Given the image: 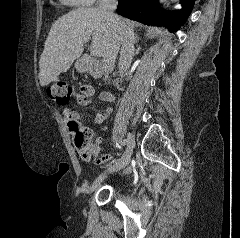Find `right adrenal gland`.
I'll return each mask as SVG.
<instances>
[{"instance_id":"1","label":"right adrenal gland","mask_w":240,"mask_h":238,"mask_svg":"<svg viewBox=\"0 0 240 238\" xmlns=\"http://www.w3.org/2000/svg\"><path fill=\"white\" fill-rule=\"evenodd\" d=\"M135 39H136V42H138V41H139V37H138V35H137V34L135 35Z\"/></svg>"}]
</instances>
